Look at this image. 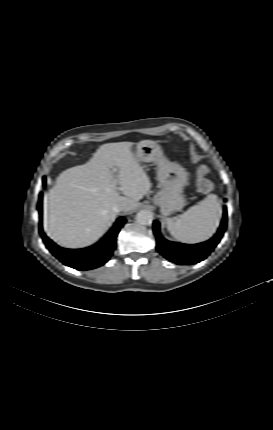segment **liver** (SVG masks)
Wrapping results in <instances>:
<instances>
[{"mask_svg":"<svg viewBox=\"0 0 273 430\" xmlns=\"http://www.w3.org/2000/svg\"><path fill=\"white\" fill-rule=\"evenodd\" d=\"M133 144H104L87 163L59 175L44 200V230L52 240L68 248L88 246L115 219V203H124L126 213L137 208L152 184L131 151Z\"/></svg>","mask_w":273,"mask_h":430,"instance_id":"6515ba94","label":"liver"}]
</instances>
